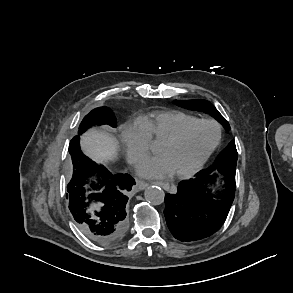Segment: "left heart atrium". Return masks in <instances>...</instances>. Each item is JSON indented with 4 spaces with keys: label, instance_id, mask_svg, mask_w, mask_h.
Masks as SVG:
<instances>
[{
    "label": "left heart atrium",
    "instance_id": "obj_1",
    "mask_svg": "<svg viewBox=\"0 0 293 293\" xmlns=\"http://www.w3.org/2000/svg\"><path fill=\"white\" fill-rule=\"evenodd\" d=\"M138 173L147 178H165L174 171L167 158L159 154L143 160L138 166Z\"/></svg>",
    "mask_w": 293,
    "mask_h": 293
}]
</instances>
